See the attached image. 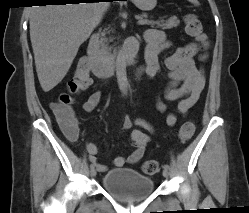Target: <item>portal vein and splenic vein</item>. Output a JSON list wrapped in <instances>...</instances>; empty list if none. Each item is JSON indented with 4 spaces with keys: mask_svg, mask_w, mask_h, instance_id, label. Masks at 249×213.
Returning a JSON list of instances; mask_svg holds the SVG:
<instances>
[{
    "mask_svg": "<svg viewBox=\"0 0 249 213\" xmlns=\"http://www.w3.org/2000/svg\"><path fill=\"white\" fill-rule=\"evenodd\" d=\"M152 21H149L147 19H139L138 23L140 25H144V24H151Z\"/></svg>",
    "mask_w": 249,
    "mask_h": 213,
    "instance_id": "obj_1",
    "label": "portal vein and splenic vein"
}]
</instances>
